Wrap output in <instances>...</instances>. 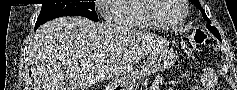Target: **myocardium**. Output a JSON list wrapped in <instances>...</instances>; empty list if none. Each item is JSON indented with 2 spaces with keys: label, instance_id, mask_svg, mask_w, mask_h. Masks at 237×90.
I'll return each mask as SVG.
<instances>
[{
  "label": "myocardium",
  "instance_id": "myocardium-1",
  "mask_svg": "<svg viewBox=\"0 0 237 90\" xmlns=\"http://www.w3.org/2000/svg\"><path fill=\"white\" fill-rule=\"evenodd\" d=\"M188 2L189 0H175V2H170V5H168V2H162V0H149V2H147L149 8H146L145 14H148V18H152L160 29L165 31H177L182 28L186 21L188 12L186 3ZM176 4L180 5L182 8L183 14L181 20L173 26L164 25L156 15H159V12H165L166 9H171L172 6H175Z\"/></svg>",
  "mask_w": 237,
  "mask_h": 90
}]
</instances>
